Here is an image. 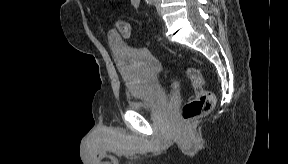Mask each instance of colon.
Returning a JSON list of instances; mask_svg holds the SVG:
<instances>
[{"label": "colon", "instance_id": "obj_1", "mask_svg": "<svg viewBox=\"0 0 288 164\" xmlns=\"http://www.w3.org/2000/svg\"><path fill=\"white\" fill-rule=\"evenodd\" d=\"M117 28L125 37L131 36V26L128 21L119 19ZM185 74L197 89V95L182 106V120H195V118L212 111L215 105V97L213 92L207 89L206 78L197 69L187 68Z\"/></svg>", "mask_w": 288, "mask_h": 164}]
</instances>
